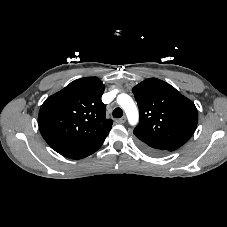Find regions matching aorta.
<instances>
[{
	"label": "aorta",
	"instance_id": "aorta-1",
	"mask_svg": "<svg viewBox=\"0 0 227 227\" xmlns=\"http://www.w3.org/2000/svg\"><path fill=\"white\" fill-rule=\"evenodd\" d=\"M117 103L125 111L129 123L131 125H136L139 119V114L133 99L129 95L122 93L118 95Z\"/></svg>",
	"mask_w": 227,
	"mask_h": 227
}]
</instances>
